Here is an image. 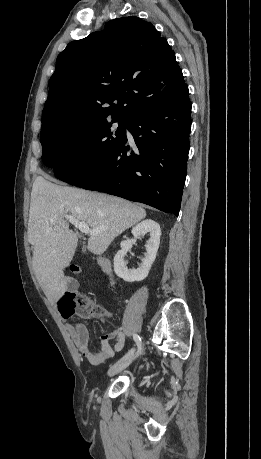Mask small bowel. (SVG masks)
<instances>
[{
  "label": "small bowel",
  "instance_id": "obj_1",
  "mask_svg": "<svg viewBox=\"0 0 261 459\" xmlns=\"http://www.w3.org/2000/svg\"><path fill=\"white\" fill-rule=\"evenodd\" d=\"M96 261L103 271L111 278V283L114 287L115 281L112 278L109 262L103 257H97ZM67 287L68 290L61 296L58 305H60L67 294L74 293L77 290L78 283L74 279H67ZM66 328L79 354L92 366H102L106 364L115 353L123 349L125 344V335L123 331L116 329L102 335L99 338L98 349H92L89 343V334L84 324L69 320L66 323ZM113 339H116L114 346L110 344V341Z\"/></svg>",
  "mask_w": 261,
  "mask_h": 459
}]
</instances>
